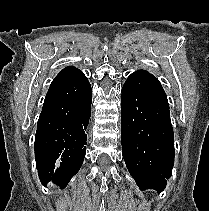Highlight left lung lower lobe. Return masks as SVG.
Wrapping results in <instances>:
<instances>
[{
	"instance_id": "left-lung-lower-lobe-1",
	"label": "left lung lower lobe",
	"mask_w": 209,
	"mask_h": 211,
	"mask_svg": "<svg viewBox=\"0 0 209 211\" xmlns=\"http://www.w3.org/2000/svg\"><path fill=\"white\" fill-rule=\"evenodd\" d=\"M122 155L140 190L163 191L174 165L169 104L158 79L145 70L122 87Z\"/></svg>"
}]
</instances>
